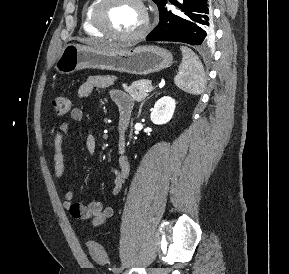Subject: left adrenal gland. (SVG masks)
<instances>
[{"mask_svg": "<svg viewBox=\"0 0 289 274\" xmlns=\"http://www.w3.org/2000/svg\"><path fill=\"white\" fill-rule=\"evenodd\" d=\"M150 97H151V96H150ZM150 97H148V99H149ZM144 103H145V102L141 103V105H140L139 112H138V116H140V114H141V110H142V107H143Z\"/></svg>", "mask_w": 289, "mask_h": 274, "instance_id": "left-adrenal-gland-1", "label": "left adrenal gland"}]
</instances>
